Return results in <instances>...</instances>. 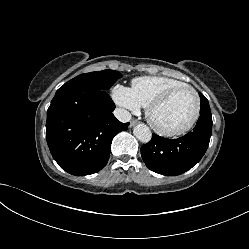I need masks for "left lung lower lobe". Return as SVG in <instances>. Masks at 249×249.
Returning a JSON list of instances; mask_svg holds the SVG:
<instances>
[{"label": "left lung lower lobe", "instance_id": "obj_1", "mask_svg": "<svg viewBox=\"0 0 249 249\" xmlns=\"http://www.w3.org/2000/svg\"><path fill=\"white\" fill-rule=\"evenodd\" d=\"M211 114L201 115L193 131L177 139L153 133L149 143L142 145L146 166L159 174L176 176L191 169L205 154L212 130Z\"/></svg>", "mask_w": 249, "mask_h": 249}]
</instances>
